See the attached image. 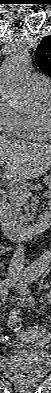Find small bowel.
I'll return each mask as SVG.
<instances>
[{
    "instance_id": "small-bowel-1",
    "label": "small bowel",
    "mask_w": 51,
    "mask_h": 393,
    "mask_svg": "<svg viewBox=\"0 0 51 393\" xmlns=\"http://www.w3.org/2000/svg\"><path fill=\"white\" fill-rule=\"evenodd\" d=\"M11 302L14 306L10 311V315H18L21 311V308L34 306L36 299L33 296L14 297L11 299ZM30 330H35V328H31Z\"/></svg>"
}]
</instances>
